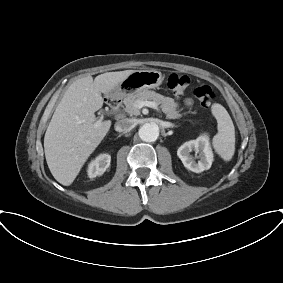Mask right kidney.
<instances>
[{"mask_svg":"<svg viewBox=\"0 0 283 283\" xmlns=\"http://www.w3.org/2000/svg\"><path fill=\"white\" fill-rule=\"evenodd\" d=\"M111 156L108 154H101L96 157L95 160L91 161L88 165V176L94 178L98 175H102L109 167Z\"/></svg>","mask_w":283,"mask_h":283,"instance_id":"ca27d5eb","label":"right kidney"}]
</instances>
